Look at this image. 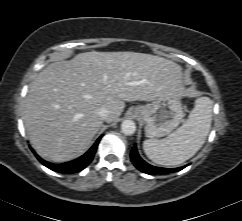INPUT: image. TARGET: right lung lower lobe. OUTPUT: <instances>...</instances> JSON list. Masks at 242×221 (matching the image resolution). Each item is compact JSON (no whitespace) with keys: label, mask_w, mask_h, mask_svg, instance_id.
Here are the masks:
<instances>
[{"label":"right lung lower lobe","mask_w":242,"mask_h":221,"mask_svg":"<svg viewBox=\"0 0 242 221\" xmlns=\"http://www.w3.org/2000/svg\"><path fill=\"white\" fill-rule=\"evenodd\" d=\"M100 139L101 137L97 139L95 144L83 156L71 162H66L63 164H52L50 162L44 161L33 150L32 151L34 152L37 159L49 169L60 173L70 174V173L81 171L88 166V164L93 160V157L96 152Z\"/></svg>","instance_id":"1"}]
</instances>
